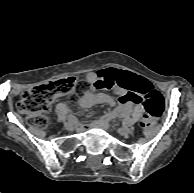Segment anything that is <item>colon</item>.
I'll list each match as a JSON object with an SVG mask.
<instances>
[{"instance_id": "obj_1", "label": "colon", "mask_w": 194, "mask_h": 193, "mask_svg": "<svg viewBox=\"0 0 194 193\" xmlns=\"http://www.w3.org/2000/svg\"><path fill=\"white\" fill-rule=\"evenodd\" d=\"M115 84L132 91V94L120 97L117 91H114V99L130 102L143 101L147 112L144 128L149 130L152 125V120L160 116L164 110V100L161 93L150 86L142 92L137 93V80L131 75H118L117 78L109 79L105 87L112 88ZM77 86L78 80L74 77L34 86L22 94L17 108L19 112L25 116L29 125L44 128L49 123L48 111L54 98L59 95H69L73 93Z\"/></svg>"}]
</instances>
